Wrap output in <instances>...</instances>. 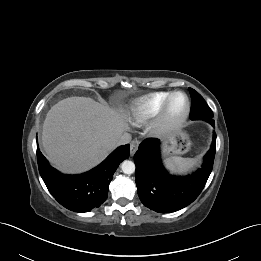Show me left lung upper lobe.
Returning <instances> with one entry per match:
<instances>
[{
	"mask_svg": "<svg viewBox=\"0 0 261 261\" xmlns=\"http://www.w3.org/2000/svg\"><path fill=\"white\" fill-rule=\"evenodd\" d=\"M189 91L192 98L190 119H201L205 121L212 120L213 112L203 97L192 88H189Z\"/></svg>",
	"mask_w": 261,
	"mask_h": 261,
	"instance_id": "1",
	"label": "left lung upper lobe"
}]
</instances>
